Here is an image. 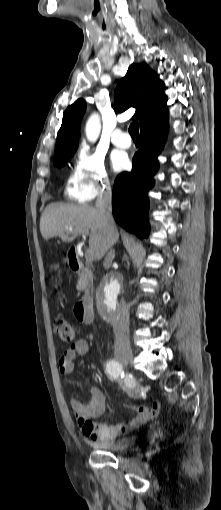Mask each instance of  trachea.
Masks as SVG:
<instances>
[{"instance_id": "1", "label": "trachea", "mask_w": 221, "mask_h": 510, "mask_svg": "<svg viewBox=\"0 0 221 510\" xmlns=\"http://www.w3.org/2000/svg\"><path fill=\"white\" fill-rule=\"evenodd\" d=\"M129 133L134 140H139V124L134 122L129 127Z\"/></svg>"}]
</instances>
